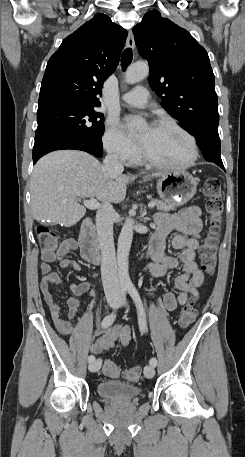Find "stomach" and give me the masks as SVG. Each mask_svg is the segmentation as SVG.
<instances>
[{
    "instance_id": "stomach-1",
    "label": "stomach",
    "mask_w": 245,
    "mask_h": 457,
    "mask_svg": "<svg viewBox=\"0 0 245 457\" xmlns=\"http://www.w3.org/2000/svg\"><path fill=\"white\" fill-rule=\"evenodd\" d=\"M197 184L195 176H192L186 170L165 172L157 180V190L160 198H163L165 202L185 204L194 196Z\"/></svg>"
}]
</instances>
